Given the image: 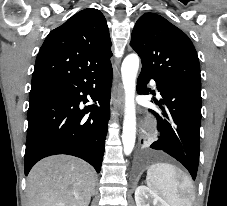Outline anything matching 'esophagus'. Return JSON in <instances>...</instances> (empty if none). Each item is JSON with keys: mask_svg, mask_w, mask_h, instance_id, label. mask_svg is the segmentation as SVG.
<instances>
[{"mask_svg": "<svg viewBox=\"0 0 227 206\" xmlns=\"http://www.w3.org/2000/svg\"><path fill=\"white\" fill-rule=\"evenodd\" d=\"M113 104L118 107L121 111L123 110V90L122 87L119 86L118 89L114 92L112 98Z\"/></svg>", "mask_w": 227, "mask_h": 206, "instance_id": "obj_1", "label": "esophagus"}]
</instances>
